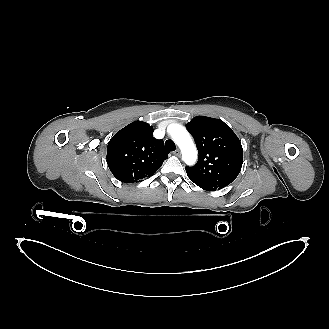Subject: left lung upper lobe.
I'll use <instances>...</instances> for the list:
<instances>
[{
	"label": "left lung upper lobe",
	"mask_w": 329,
	"mask_h": 329,
	"mask_svg": "<svg viewBox=\"0 0 329 329\" xmlns=\"http://www.w3.org/2000/svg\"><path fill=\"white\" fill-rule=\"evenodd\" d=\"M186 127L199 154L197 164L186 167L190 180L209 190L233 182L243 163L242 145L233 130L223 121L205 116L194 117Z\"/></svg>",
	"instance_id": "1"
}]
</instances>
